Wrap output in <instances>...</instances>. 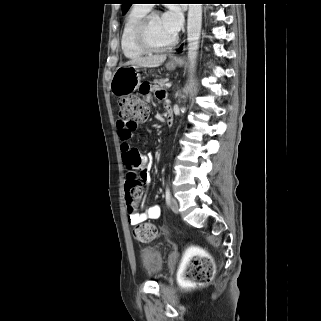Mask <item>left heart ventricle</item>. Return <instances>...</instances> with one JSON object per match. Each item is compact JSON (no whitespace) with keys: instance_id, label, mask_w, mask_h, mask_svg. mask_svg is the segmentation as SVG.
Here are the masks:
<instances>
[{"instance_id":"left-heart-ventricle-1","label":"left heart ventricle","mask_w":321,"mask_h":321,"mask_svg":"<svg viewBox=\"0 0 321 321\" xmlns=\"http://www.w3.org/2000/svg\"><path fill=\"white\" fill-rule=\"evenodd\" d=\"M147 35L150 43L155 46H163L169 43L173 34L163 23L161 16H154L148 23Z\"/></svg>"}]
</instances>
